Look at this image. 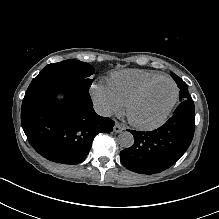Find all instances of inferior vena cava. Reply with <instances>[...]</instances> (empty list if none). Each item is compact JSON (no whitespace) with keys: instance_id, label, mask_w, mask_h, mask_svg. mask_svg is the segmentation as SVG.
Masks as SVG:
<instances>
[{"instance_id":"602c4592","label":"inferior vena cava","mask_w":219,"mask_h":219,"mask_svg":"<svg viewBox=\"0 0 219 219\" xmlns=\"http://www.w3.org/2000/svg\"><path fill=\"white\" fill-rule=\"evenodd\" d=\"M93 107H94L95 112L100 116H111L112 115V111L110 110V108L103 103H95Z\"/></svg>"}]
</instances>
